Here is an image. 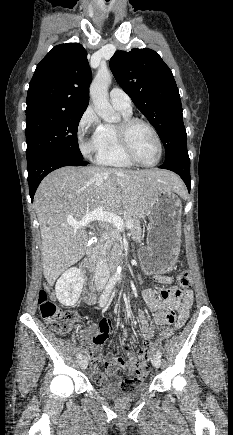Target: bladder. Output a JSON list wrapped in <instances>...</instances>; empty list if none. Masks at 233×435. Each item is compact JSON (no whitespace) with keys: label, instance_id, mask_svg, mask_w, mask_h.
<instances>
[{"label":"bladder","instance_id":"1","mask_svg":"<svg viewBox=\"0 0 233 435\" xmlns=\"http://www.w3.org/2000/svg\"><path fill=\"white\" fill-rule=\"evenodd\" d=\"M98 391L105 397L114 401H126L141 396L147 389L146 384H139L130 391L122 390L118 384H98Z\"/></svg>","mask_w":233,"mask_h":435}]
</instances>
